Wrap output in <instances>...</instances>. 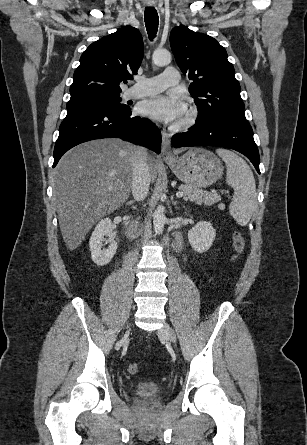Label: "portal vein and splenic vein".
<instances>
[{
  "label": "portal vein and splenic vein",
  "mask_w": 307,
  "mask_h": 445,
  "mask_svg": "<svg viewBox=\"0 0 307 445\" xmlns=\"http://www.w3.org/2000/svg\"><path fill=\"white\" fill-rule=\"evenodd\" d=\"M109 190H113V188H109ZM176 196H183V192H176Z\"/></svg>",
  "instance_id": "18ae733b"
}]
</instances>
